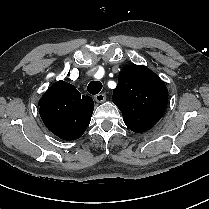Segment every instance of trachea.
Segmentation results:
<instances>
[{
  "label": "trachea",
  "mask_w": 209,
  "mask_h": 209,
  "mask_svg": "<svg viewBox=\"0 0 209 209\" xmlns=\"http://www.w3.org/2000/svg\"><path fill=\"white\" fill-rule=\"evenodd\" d=\"M102 89V83L100 81H91L87 87L90 94H98Z\"/></svg>",
  "instance_id": "3493384b"
}]
</instances>
